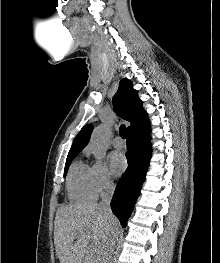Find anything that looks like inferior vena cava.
Wrapping results in <instances>:
<instances>
[{"mask_svg":"<svg viewBox=\"0 0 220 263\" xmlns=\"http://www.w3.org/2000/svg\"><path fill=\"white\" fill-rule=\"evenodd\" d=\"M114 190H115L114 183L112 181H109L104 186V193L101 194L102 200L99 205L108 215H112L110 203L113 197ZM118 233H119L118 230L111 231V234L109 235L106 241L105 256L103 263H111L112 254L114 252L116 242L118 241Z\"/></svg>","mask_w":220,"mask_h":263,"instance_id":"602c4592","label":"inferior vena cava"}]
</instances>
